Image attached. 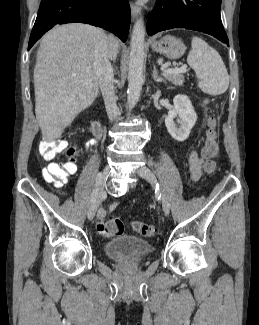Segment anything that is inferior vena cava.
Wrapping results in <instances>:
<instances>
[{
	"mask_svg": "<svg viewBox=\"0 0 259 325\" xmlns=\"http://www.w3.org/2000/svg\"><path fill=\"white\" fill-rule=\"evenodd\" d=\"M109 59L108 37L106 34H103V39L95 52L93 72L102 92L108 118L110 121H113L117 118L119 109L116 105L114 73Z\"/></svg>",
	"mask_w": 259,
	"mask_h": 325,
	"instance_id": "1",
	"label": "inferior vena cava"
}]
</instances>
